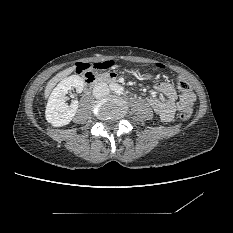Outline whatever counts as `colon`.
Segmentation results:
<instances>
[{
	"mask_svg": "<svg viewBox=\"0 0 233 233\" xmlns=\"http://www.w3.org/2000/svg\"><path fill=\"white\" fill-rule=\"evenodd\" d=\"M110 63L97 62L91 63H78L75 68V72L85 78H91L95 74V70H105L110 67ZM156 66L160 69H166V65L162 63H157ZM177 86L180 91L184 93L185 106L182 110L180 117L184 120L189 119L192 113L193 104V93L190 84L184 80L180 79L177 82Z\"/></svg>",
	"mask_w": 233,
	"mask_h": 233,
	"instance_id": "5ec220e1",
	"label": "colon"
}]
</instances>
